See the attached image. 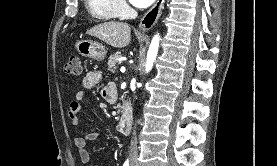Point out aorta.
<instances>
[{"instance_id": "aorta-1", "label": "aorta", "mask_w": 277, "mask_h": 166, "mask_svg": "<svg viewBox=\"0 0 277 166\" xmlns=\"http://www.w3.org/2000/svg\"><path fill=\"white\" fill-rule=\"evenodd\" d=\"M159 41H160V36L156 34L151 41V44L147 53L146 72H149L153 67V63L156 59L158 49H159Z\"/></svg>"}]
</instances>
